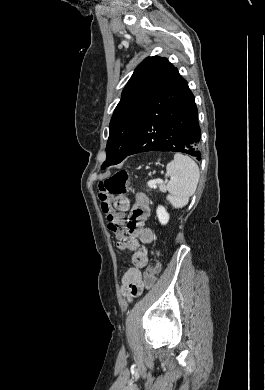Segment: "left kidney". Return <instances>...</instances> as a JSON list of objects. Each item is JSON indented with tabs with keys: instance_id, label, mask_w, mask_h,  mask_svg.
Wrapping results in <instances>:
<instances>
[{
	"instance_id": "1",
	"label": "left kidney",
	"mask_w": 265,
	"mask_h": 390,
	"mask_svg": "<svg viewBox=\"0 0 265 390\" xmlns=\"http://www.w3.org/2000/svg\"><path fill=\"white\" fill-rule=\"evenodd\" d=\"M156 214H157L159 222L162 225H165V224L168 223V221H169V214H168V212L166 211V209L163 206H158V208L156 210Z\"/></svg>"
}]
</instances>
